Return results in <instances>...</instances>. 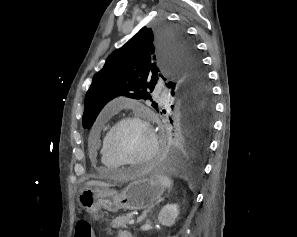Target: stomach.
Here are the masks:
<instances>
[{"mask_svg":"<svg viewBox=\"0 0 297 237\" xmlns=\"http://www.w3.org/2000/svg\"><path fill=\"white\" fill-rule=\"evenodd\" d=\"M165 189L159 177L134 180L121 192L103 187L86 186L80 191L78 203L91 214H96L101 208L111 212L120 209L139 210L152 207L160 200Z\"/></svg>","mask_w":297,"mask_h":237,"instance_id":"obj_1","label":"stomach"}]
</instances>
